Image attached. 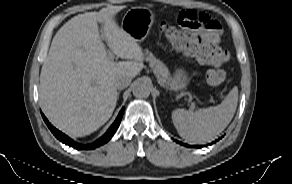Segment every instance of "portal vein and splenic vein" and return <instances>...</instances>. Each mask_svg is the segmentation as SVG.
Masks as SVG:
<instances>
[{"label": "portal vein and splenic vein", "instance_id": "1", "mask_svg": "<svg viewBox=\"0 0 292 184\" xmlns=\"http://www.w3.org/2000/svg\"><path fill=\"white\" fill-rule=\"evenodd\" d=\"M109 58L110 60H114V55L112 54V52H109Z\"/></svg>", "mask_w": 292, "mask_h": 184}]
</instances>
